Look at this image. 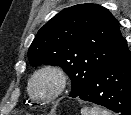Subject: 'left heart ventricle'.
I'll return each mask as SVG.
<instances>
[{"mask_svg": "<svg viewBox=\"0 0 131 115\" xmlns=\"http://www.w3.org/2000/svg\"><path fill=\"white\" fill-rule=\"evenodd\" d=\"M55 86L54 78L48 74H43L36 78L33 90L38 97L47 98L53 93Z\"/></svg>", "mask_w": 131, "mask_h": 115, "instance_id": "1", "label": "left heart ventricle"}]
</instances>
